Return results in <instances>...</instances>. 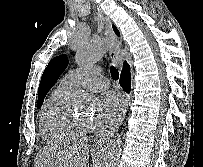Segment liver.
<instances>
[{
  "label": "liver",
  "mask_w": 203,
  "mask_h": 167,
  "mask_svg": "<svg viewBox=\"0 0 203 167\" xmlns=\"http://www.w3.org/2000/svg\"><path fill=\"white\" fill-rule=\"evenodd\" d=\"M89 151L82 144L46 147L39 152L35 167H88Z\"/></svg>",
  "instance_id": "obj_1"
}]
</instances>
